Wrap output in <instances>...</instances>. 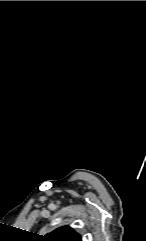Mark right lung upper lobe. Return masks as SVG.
I'll return each mask as SVG.
<instances>
[{"mask_svg": "<svg viewBox=\"0 0 146 241\" xmlns=\"http://www.w3.org/2000/svg\"><path fill=\"white\" fill-rule=\"evenodd\" d=\"M42 241H82L80 235L76 233L71 227L63 226L57 228L53 232L41 236Z\"/></svg>", "mask_w": 146, "mask_h": 241, "instance_id": "right-lung-upper-lobe-1", "label": "right lung upper lobe"}]
</instances>
